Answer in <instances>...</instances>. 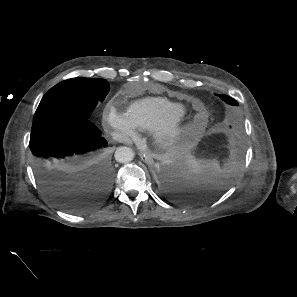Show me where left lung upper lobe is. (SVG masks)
I'll list each match as a JSON object with an SVG mask.
<instances>
[{
	"instance_id": "1",
	"label": "left lung upper lobe",
	"mask_w": 297,
	"mask_h": 297,
	"mask_svg": "<svg viewBox=\"0 0 297 297\" xmlns=\"http://www.w3.org/2000/svg\"><path fill=\"white\" fill-rule=\"evenodd\" d=\"M219 97L229 105L238 106V102L235 99H233L227 95H219Z\"/></svg>"
}]
</instances>
